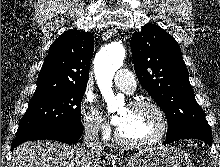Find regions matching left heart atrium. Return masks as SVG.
I'll return each instance as SVG.
<instances>
[{
  "label": "left heart atrium",
  "instance_id": "39dd6f15",
  "mask_svg": "<svg viewBox=\"0 0 220 167\" xmlns=\"http://www.w3.org/2000/svg\"><path fill=\"white\" fill-rule=\"evenodd\" d=\"M123 120L124 117L121 114H119L112 118V123L119 129L123 124Z\"/></svg>",
  "mask_w": 220,
  "mask_h": 167
}]
</instances>
